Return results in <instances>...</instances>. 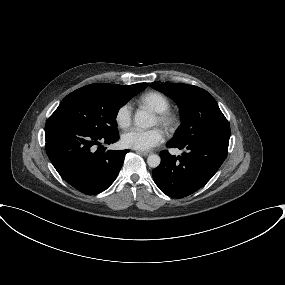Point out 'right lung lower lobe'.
Instances as JSON below:
<instances>
[{"mask_svg": "<svg viewBox=\"0 0 285 285\" xmlns=\"http://www.w3.org/2000/svg\"><path fill=\"white\" fill-rule=\"evenodd\" d=\"M45 140L47 155L59 175L87 195L98 194L114 182L128 152L106 151V148L94 152V146L101 142L111 144L118 141L119 134L96 135L57 116L47 120Z\"/></svg>", "mask_w": 285, "mask_h": 285, "instance_id": "98d812e1", "label": "right lung lower lobe"}]
</instances>
